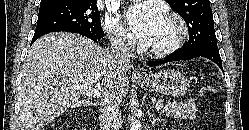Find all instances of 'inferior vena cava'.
I'll use <instances>...</instances> for the list:
<instances>
[{
	"label": "inferior vena cava",
	"mask_w": 249,
	"mask_h": 130,
	"mask_svg": "<svg viewBox=\"0 0 249 130\" xmlns=\"http://www.w3.org/2000/svg\"><path fill=\"white\" fill-rule=\"evenodd\" d=\"M132 46L121 34L111 36L110 54L113 62L117 65L127 66L130 64ZM119 101L106 99L101 103L99 119L102 130H118L122 123L119 110Z\"/></svg>",
	"instance_id": "obj_1"
}]
</instances>
